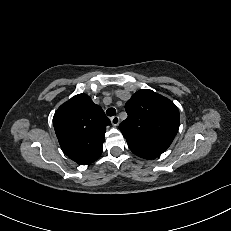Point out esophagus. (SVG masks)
I'll return each instance as SVG.
<instances>
[{
	"instance_id": "34e87169",
	"label": "esophagus",
	"mask_w": 231,
	"mask_h": 231,
	"mask_svg": "<svg viewBox=\"0 0 231 231\" xmlns=\"http://www.w3.org/2000/svg\"><path fill=\"white\" fill-rule=\"evenodd\" d=\"M111 123H112L113 126H118L119 123H120L119 117H118V116H113V117L111 118Z\"/></svg>"
}]
</instances>
